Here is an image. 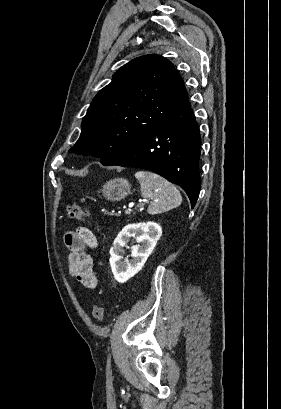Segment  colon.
<instances>
[{
  "label": "colon",
  "mask_w": 281,
  "mask_h": 409,
  "mask_svg": "<svg viewBox=\"0 0 281 409\" xmlns=\"http://www.w3.org/2000/svg\"><path fill=\"white\" fill-rule=\"evenodd\" d=\"M67 214L70 218L77 219V220H86L87 214L81 208V206L77 204H71L67 206ZM104 317V308L103 305L100 303H96L93 307V318L96 323H101Z\"/></svg>",
  "instance_id": "colon-1"
}]
</instances>
